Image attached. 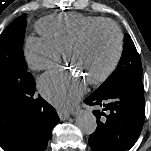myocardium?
<instances>
[{
  "label": "myocardium",
  "instance_id": "1",
  "mask_svg": "<svg viewBox=\"0 0 151 151\" xmlns=\"http://www.w3.org/2000/svg\"><path fill=\"white\" fill-rule=\"evenodd\" d=\"M101 27H110L114 31L116 36V52L112 62L107 67V69L99 76L89 80V83L93 85L105 82L116 70L121 60L123 54V34L120 27L115 22L108 19L98 21L85 28L79 35L68 42L63 49L64 60L68 62L69 53L81 46L93 31Z\"/></svg>",
  "mask_w": 151,
  "mask_h": 151
}]
</instances>
